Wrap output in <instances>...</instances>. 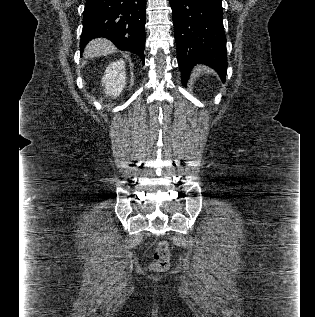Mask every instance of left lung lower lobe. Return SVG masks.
Instances as JSON below:
<instances>
[{
    "label": "left lung lower lobe",
    "instance_id": "0a47b994",
    "mask_svg": "<svg viewBox=\"0 0 315 317\" xmlns=\"http://www.w3.org/2000/svg\"><path fill=\"white\" fill-rule=\"evenodd\" d=\"M182 83L197 63L210 66L225 82L226 37L222 0H170Z\"/></svg>",
    "mask_w": 315,
    "mask_h": 317
}]
</instances>
